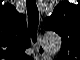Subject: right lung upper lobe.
I'll return each mask as SVG.
<instances>
[{
  "instance_id": "1",
  "label": "right lung upper lobe",
  "mask_w": 80,
  "mask_h": 60,
  "mask_svg": "<svg viewBox=\"0 0 80 60\" xmlns=\"http://www.w3.org/2000/svg\"><path fill=\"white\" fill-rule=\"evenodd\" d=\"M0 12V39L4 49L25 54V49L30 46L25 16L18 13L10 4L3 5Z\"/></svg>"
}]
</instances>
